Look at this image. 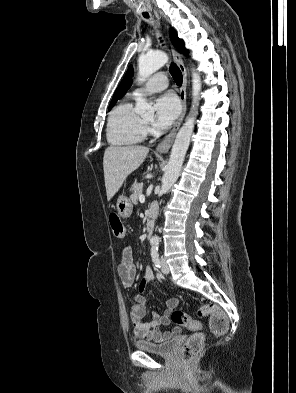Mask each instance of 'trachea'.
I'll return each instance as SVG.
<instances>
[{"label":"trachea","instance_id":"3493384b","mask_svg":"<svg viewBox=\"0 0 296 393\" xmlns=\"http://www.w3.org/2000/svg\"><path fill=\"white\" fill-rule=\"evenodd\" d=\"M143 16L146 18L149 17L148 13H146V12L143 13ZM169 71H170L175 83L178 86H180L182 84L183 78H182V73H181L179 67L175 63H172L169 67Z\"/></svg>","mask_w":296,"mask_h":393}]
</instances>
